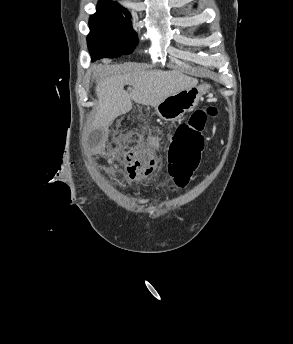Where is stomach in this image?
I'll list each match as a JSON object with an SVG mask.
<instances>
[{
	"mask_svg": "<svg viewBox=\"0 0 293 344\" xmlns=\"http://www.w3.org/2000/svg\"><path fill=\"white\" fill-rule=\"evenodd\" d=\"M209 88V84H202L170 95L155 106L156 113L166 122H176L198 105Z\"/></svg>",
	"mask_w": 293,
	"mask_h": 344,
	"instance_id": "obj_1",
	"label": "stomach"
}]
</instances>
